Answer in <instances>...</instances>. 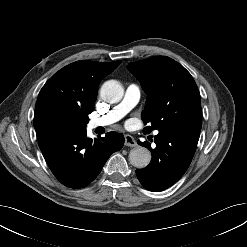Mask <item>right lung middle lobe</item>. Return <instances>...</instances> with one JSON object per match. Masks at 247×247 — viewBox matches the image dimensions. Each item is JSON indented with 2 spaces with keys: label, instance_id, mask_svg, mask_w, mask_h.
Masks as SVG:
<instances>
[{
  "label": "right lung middle lobe",
  "instance_id": "dd1d6c3e",
  "mask_svg": "<svg viewBox=\"0 0 247 247\" xmlns=\"http://www.w3.org/2000/svg\"><path fill=\"white\" fill-rule=\"evenodd\" d=\"M88 116H79L64 111H54L45 116L42 123V130L73 132L86 129Z\"/></svg>",
  "mask_w": 247,
  "mask_h": 247
}]
</instances>
